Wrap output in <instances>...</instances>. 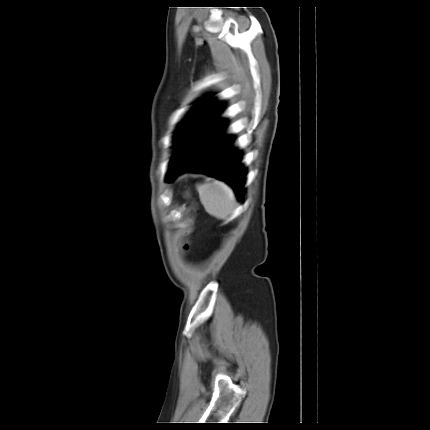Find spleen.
I'll return each mask as SVG.
<instances>
[{
  "instance_id": "obj_1",
  "label": "spleen",
  "mask_w": 430,
  "mask_h": 430,
  "mask_svg": "<svg viewBox=\"0 0 430 430\" xmlns=\"http://www.w3.org/2000/svg\"><path fill=\"white\" fill-rule=\"evenodd\" d=\"M200 201L206 212L216 218H226L236 207V199L231 190L221 182L196 185Z\"/></svg>"
}]
</instances>
